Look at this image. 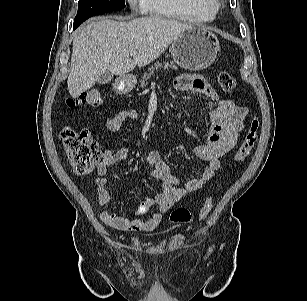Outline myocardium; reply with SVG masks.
<instances>
[{"label": "myocardium", "mask_w": 307, "mask_h": 301, "mask_svg": "<svg viewBox=\"0 0 307 301\" xmlns=\"http://www.w3.org/2000/svg\"><path fill=\"white\" fill-rule=\"evenodd\" d=\"M207 1H210L212 4H214L217 7V9L218 7H220V0H207Z\"/></svg>", "instance_id": "f54148a6"}]
</instances>
